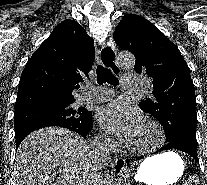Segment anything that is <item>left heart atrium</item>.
Returning <instances> with one entry per match:
<instances>
[{"mask_svg": "<svg viewBox=\"0 0 207 185\" xmlns=\"http://www.w3.org/2000/svg\"><path fill=\"white\" fill-rule=\"evenodd\" d=\"M99 124L107 132L129 140L144 124V115L123 99L115 100L98 112Z\"/></svg>", "mask_w": 207, "mask_h": 185, "instance_id": "obj_1", "label": "left heart atrium"}]
</instances>
